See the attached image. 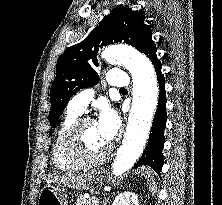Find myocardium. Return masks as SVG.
<instances>
[{
  "label": "myocardium",
  "mask_w": 222,
  "mask_h": 205,
  "mask_svg": "<svg viewBox=\"0 0 222 205\" xmlns=\"http://www.w3.org/2000/svg\"><path fill=\"white\" fill-rule=\"evenodd\" d=\"M91 122H94V121L89 117L77 118L65 134V138H64L65 152L72 161L80 165L100 164L103 161H105L112 152V145L108 144L106 150L103 151L98 156L88 157L83 154L80 148L79 137H80V133L83 126Z\"/></svg>",
  "instance_id": "obj_1"
}]
</instances>
